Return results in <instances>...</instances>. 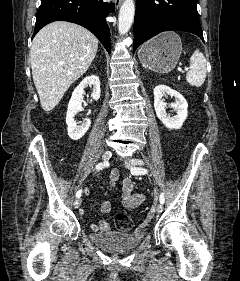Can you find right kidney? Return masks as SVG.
Returning a JSON list of instances; mask_svg holds the SVG:
<instances>
[{"instance_id": "1", "label": "right kidney", "mask_w": 240, "mask_h": 281, "mask_svg": "<svg viewBox=\"0 0 240 281\" xmlns=\"http://www.w3.org/2000/svg\"><path fill=\"white\" fill-rule=\"evenodd\" d=\"M87 86H92V94L91 97L94 100H98L100 98V80L99 77L92 75L89 77H86L81 81V83L75 88V90L72 93V97L68 104L67 114H66V124H67V131L68 135L72 140H79L84 136V134L89 129L91 122L89 119H86V121L78 125L75 121L74 117L79 111H82V101H83V94L84 89Z\"/></svg>"}]
</instances>
